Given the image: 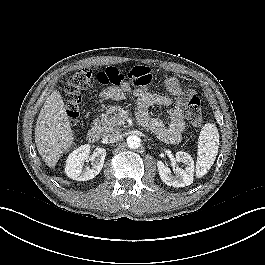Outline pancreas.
I'll use <instances>...</instances> for the list:
<instances>
[{"label": "pancreas", "instance_id": "obj_1", "mask_svg": "<svg viewBox=\"0 0 265 265\" xmlns=\"http://www.w3.org/2000/svg\"><path fill=\"white\" fill-rule=\"evenodd\" d=\"M121 110L120 106H113L102 114L98 127L104 136L110 133H119L125 127V122L120 117Z\"/></svg>", "mask_w": 265, "mask_h": 265}]
</instances>
